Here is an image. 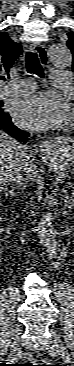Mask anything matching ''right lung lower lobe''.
Returning a JSON list of instances; mask_svg holds the SVG:
<instances>
[{
	"label": "right lung lower lobe",
	"instance_id": "obj_1",
	"mask_svg": "<svg viewBox=\"0 0 74 366\" xmlns=\"http://www.w3.org/2000/svg\"><path fill=\"white\" fill-rule=\"evenodd\" d=\"M0 129L5 130L12 137L21 140L24 144L29 136L28 132L22 131L13 125L8 114L0 116Z\"/></svg>",
	"mask_w": 74,
	"mask_h": 366
}]
</instances>
